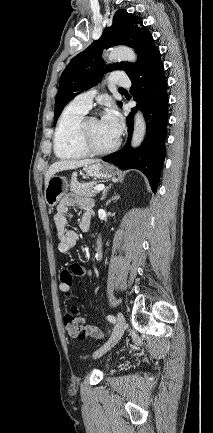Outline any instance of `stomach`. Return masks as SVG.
<instances>
[{
	"label": "stomach",
	"instance_id": "1",
	"mask_svg": "<svg viewBox=\"0 0 213 433\" xmlns=\"http://www.w3.org/2000/svg\"><path fill=\"white\" fill-rule=\"evenodd\" d=\"M86 174L93 178H111L114 176L110 165L99 161L84 167ZM68 191L67 179L63 176H53L45 186L44 199L49 206H55Z\"/></svg>",
	"mask_w": 213,
	"mask_h": 433
}]
</instances>
